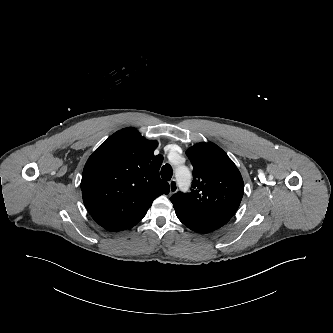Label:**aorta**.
Listing matches in <instances>:
<instances>
[{
	"label": "aorta",
	"mask_w": 333,
	"mask_h": 333,
	"mask_svg": "<svg viewBox=\"0 0 333 333\" xmlns=\"http://www.w3.org/2000/svg\"><path fill=\"white\" fill-rule=\"evenodd\" d=\"M176 180L181 189H185L190 184L191 173L185 165H178L174 171Z\"/></svg>",
	"instance_id": "aorta-1"
}]
</instances>
